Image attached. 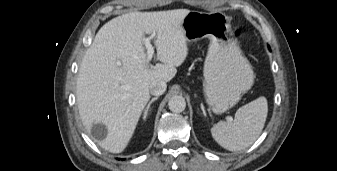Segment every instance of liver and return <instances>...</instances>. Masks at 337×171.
<instances>
[{"label":"liver","instance_id":"liver-1","mask_svg":"<svg viewBox=\"0 0 337 171\" xmlns=\"http://www.w3.org/2000/svg\"><path fill=\"white\" fill-rule=\"evenodd\" d=\"M190 12L174 9L131 12L113 18L97 32L87 49L77 79V104L87 131L94 123L107 128L99 145L112 153L128 145L150 99L154 80L168 82L188 55L182 22ZM157 59L150 66L143 46L153 35Z\"/></svg>","mask_w":337,"mask_h":171}]
</instances>
